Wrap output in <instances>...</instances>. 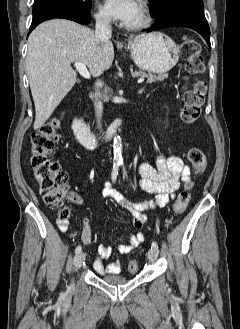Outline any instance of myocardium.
<instances>
[{
	"instance_id": "1",
	"label": "myocardium",
	"mask_w": 240,
	"mask_h": 329,
	"mask_svg": "<svg viewBox=\"0 0 240 329\" xmlns=\"http://www.w3.org/2000/svg\"><path fill=\"white\" fill-rule=\"evenodd\" d=\"M139 9H140V19L136 23L132 24H124V27L128 30H140L145 27H147L150 24L151 21V16H150V11L148 8V5L146 4L145 0H141L139 3Z\"/></svg>"
}]
</instances>
